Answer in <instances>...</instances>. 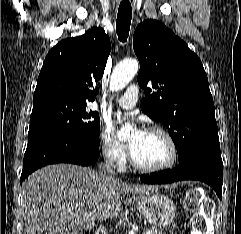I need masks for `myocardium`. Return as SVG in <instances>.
Wrapping results in <instances>:
<instances>
[{"label": "myocardium", "mask_w": 241, "mask_h": 234, "mask_svg": "<svg viewBox=\"0 0 241 234\" xmlns=\"http://www.w3.org/2000/svg\"><path fill=\"white\" fill-rule=\"evenodd\" d=\"M145 132L158 133L165 138V140L167 141V143L170 147V151H171L170 159L165 164L160 165V166L142 165L135 159L132 148L129 145V160H130L131 165L136 170H138L140 172H144V173H159V172H164V171L171 169L176 164V162L178 160V155H179L177 144H176L174 138L172 137V135L166 129H164L160 126L148 127L147 129H145Z\"/></svg>", "instance_id": "f54148a6"}]
</instances>
